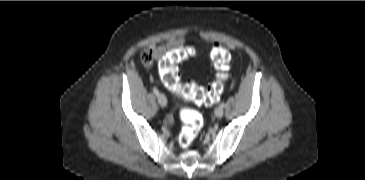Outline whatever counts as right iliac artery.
<instances>
[{
  "label": "right iliac artery",
  "mask_w": 365,
  "mask_h": 180,
  "mask_svg": "<svg viewBox=\"0 0 365 180\" xmlns=\"http://www.w3.org/2000/svg\"><path fill=\"white\" fill-rule=\"evenodd\" d=\"M153 92H154V94H155L156 96H158V95H159V91H158V89H157L156 87H153Z\"/></svg>",
  "instance_id": "82829eb1"
}]
</instances>
